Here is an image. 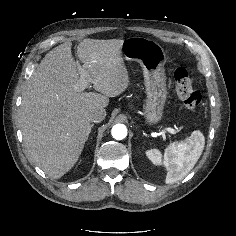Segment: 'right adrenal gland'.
<instances>
[{
	"label": "right adrenal gland",
	"mask_w": 236,
	"mask_h": 236,
	"mask_svg": "<svg viewBox=\"0 0 236 236\" xmlns=\"http://www.w3.org/2000/svg\"><path fill=\"white\" fill-rule=\"evenodd\" d=\"M94 126V124H91L90 125V131H91V128ZM89 135L87 136V139H88Z\"/></svg>",
	"instance_id": "1"
}]
</instances>
